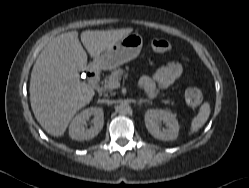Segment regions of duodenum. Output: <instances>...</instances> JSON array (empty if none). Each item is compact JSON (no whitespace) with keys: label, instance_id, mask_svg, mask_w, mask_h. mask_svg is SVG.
<instances>
[{"label":"duodenum","instance_id":"obj_1","mask_svg":"<svg viewBox=\"0 0 249 188\" xmlns=\"http://www.w3.org/2000/svg\"><path fill=\"white\" fill-rule=\"evenodd\" d=\"M88 81L91 86H96L98 82V74L94 70H87Z\"/></svg>","mask_w":249,"mask_h":188}]
</instances>
